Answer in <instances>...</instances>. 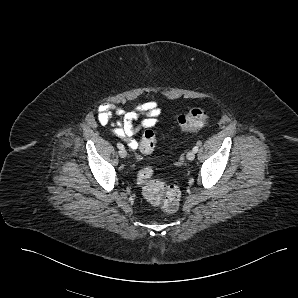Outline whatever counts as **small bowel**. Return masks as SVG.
Masks as SVG:
<instances>
[{
    "label": "small bowel",
    "instance_id": "c3829d8e",
    "mask_svg": "<svg viewBox=\"0 0 298 298\" xmlns=\"http://www.w3.org/2000/svg\"><path fill=\"white\" fill-rule=\"evenodd\" d=\"M162 110L156 101L141 103L131 110H124L111 103H103L98 107V122L107 125L114 116L119 120L112 126V134L125 141L132 149L138 148V141L134 135L139 128H152L158 123V117ZM145 116L139 127L134 126V122L140 117Z\"/></svg>",
    "mask_w": 298,
    "mask_h": 298
}]
</instances>
